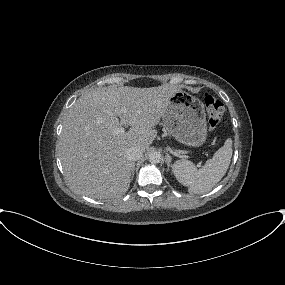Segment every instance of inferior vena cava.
<instances>
[{"label":"inferior vena cava","instance_id":"602c4592","mask_svg":"<svg viewBox=\"0 0 285 285\" xmlns=\"http://www.w3.org/2000/svg\"><path fill=\"white\" fill-rule=\"evenodd\" d=\"M127 157L131 161H137L143 156V150L139 147H131L126 151Z\"/></svg>","mask_w":285,"mask_h":285}]
</instances>
